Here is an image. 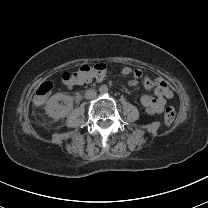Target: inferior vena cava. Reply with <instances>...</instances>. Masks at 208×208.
Listing matches in <instances>:
<instances>
[{
    "label": "inferior vena cava",
    "instance_id": "602c4592",
    "mask_svg": "<svg viewBox=\"0 0 208 208\" xmlns=\"http://www.w3.org/2000/svg\"><path fill=\"white\" fill-rule=\"evenodd\" d=\"M97 96V93L94 89H89L85 92V98L93 99Z\"/></svg>",
    "mask_w": 208,
    "mask_h": 208
}]
</instances>
